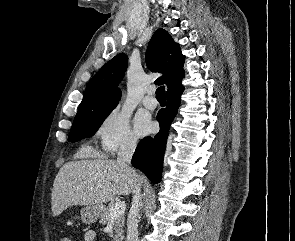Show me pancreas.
Instances as JSON below:
<instances>
[{"instance_id":"pancreas-1","label":"pancreas","mask_w":295,"mask_h":241,"mask_svg":"<svg viewBox=\"0 0 295 241\" xmlns=\"http://www.w3.org/2000/svg\"><path fill=\"white\" fill-rule=\"evenodd\" d=\"M114 204H110L108 207H104V210L101 214V217H100V223L105 225V224H108L110 222H113V225H114V241H122L123 240V227H124V221H125V218H124V215H120L118 218L112 220L110 218V209L111 207H113Z\"/></svg>"}]
</instances>
